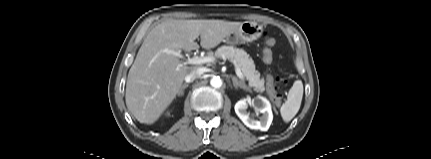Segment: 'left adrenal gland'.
<instances>
[{"label":"left adrenal gland","instance_id":"obj_1","mask_svg":"<svg viewBox=\"0 0 431 159\" xmlns=\"http://www.w3.org/2000/svg\"><path fill=\"white\" fill-rule=\"evenodd\" d=\"M232 81H233V86L237 89V88H242L246 91L251 92V89L249 87H247L243 81H239L235 76L232 77Z\"/></svg>","mask_w":431,"mask_h":159}]
</instances>
